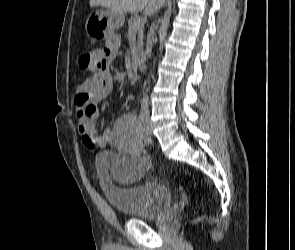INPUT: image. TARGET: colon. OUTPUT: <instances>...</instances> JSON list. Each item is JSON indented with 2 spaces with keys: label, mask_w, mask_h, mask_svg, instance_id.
<instances>
[{
  "label": "colon",
  "mask_w": 295,
  "mask_h": 250,
  "mask_svg": "<svg viewBox=\"0 0 295 250\" xmlns=\"http://www.w3.org/2000/svg\"><path fill=\"white\" fill-rule=\"evenodd\" d=\"M93 64V57L91 56L90 53H84L80 56L79 58V66L82 69H89ZM86 112L88 110L86 109H79L78 110V116L79 118H82L85 116Z\"/></svg>",
  "instance_id": "colon-1"
}]
</instances>
